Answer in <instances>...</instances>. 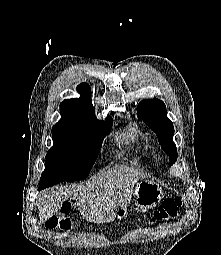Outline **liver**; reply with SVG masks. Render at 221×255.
Instances as JSON below:
<instances>
[{
	"label": "liver",
	"instance_id": "1",
	"mask_svg": "<svg viewBox=\"0 0 221 255\" xmlns=\"http://www.w3.org/2000/svg\"><path fill=\"white\" fill-rule=\"evenodd\" d=\"M144 177L132 167L115 165L85 184L52 187L40 194V223L49 220L61 209L63 202L71 198L76 199L81 215L88 222H112L116 218L115 210L130 203L135 183Z\"/></svg>",
	"mask_w": 221,
	"mask_h": 255
}]
</instances>
